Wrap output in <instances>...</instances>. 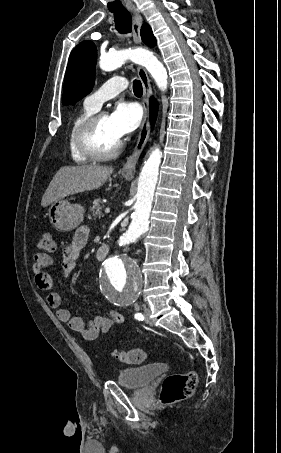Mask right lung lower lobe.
Here are the masks:
<instances>
[{
	"mask_svg": "<svg viewBox=\"0 0 281 453\" xmlns=\"http://www.w3.org/2000/svg\"><path fill=\"white\" fill-rule=\"evenodd\" d=\"M157 115V103L154 100V98H151L150 100V117H151V123L154 124L155 119Z\"/></svg>",
	"mask_w": 281,
	"mask_h": 453,
	"instance_id": "right-lung-lower-lobe-1",
	"label": "right lung lower lobe"
}]
</instances>
